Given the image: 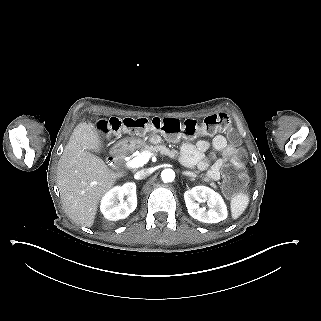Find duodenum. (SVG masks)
I'll list each match as a JSON object with an SVG mask.
<instances>
[{
    "label": "duodenum",
    "instance_id": "1",
    "mask_svg": "<svg viewBox=\"0 0 321 321\" xmlns=\"http://www.w3.org/2000/svg\"><path fill=\"white\" fill-rule=\"evenodd\" d=\"M124 153V147L121 145L115 146L110 154L109 160L111 162H117L121 159L122 155Z\"/></svg>",
    "mask_w": 321,
    "mask_h": 321
}]
</instances>
